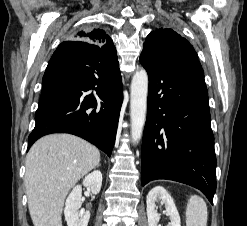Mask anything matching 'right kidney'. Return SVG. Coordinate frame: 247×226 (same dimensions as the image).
<instances>
[{"label": "right kidney", "mask_w": 247, "mask_h": 226, "mask_svg": "<svg viewBox=\"0 0 247 226\" xmlns=\"http://www.w3.org/2000/svg\"><path fill=\"white\" fill-rule=\"evenodd\" d=\"M83 185L86 186L92 194L100 192L102 186V173L99 170L93 171L83 179ZM82 205V186L77 185L73 188L66 199L64 215L67 226H87L90 219V212L80 210Z\"/></svg>", "instance_id": "obj_1"}]
</instances>
